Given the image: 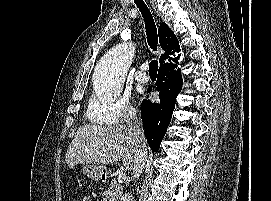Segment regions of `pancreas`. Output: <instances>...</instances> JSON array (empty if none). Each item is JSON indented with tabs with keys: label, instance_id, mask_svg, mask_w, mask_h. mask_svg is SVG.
<instances>
[{
	"label": "pancreas",
	"instance_id": "1",
	"mask_svg": "<svg viewBox=\"0 0 271 201\" xmlns=\"http://www.w3.org/2000/svg\"><path fill=\"white\" fill-rule=\"evenodd\" d=\"M122 191L123 186L115 180H112L109 188L102 193V196L104 197V201H119Z\"/></svg>",
	"mask_w": 271,
	"mask_h": 201
}]
</instances>
